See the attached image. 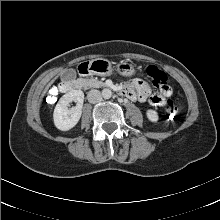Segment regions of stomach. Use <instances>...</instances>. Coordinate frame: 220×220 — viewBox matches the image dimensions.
Masks as SVG:
<instances>
[{"label": "stomach", "mask_w": 220, "mask_h": 220, "mask_svg": "<svg viewBox=\"0 0 220 220\" xmlns=\"http://www.w3.org/2000/svg\"><path fill=\"white\" fill-rule=\"evenodd\" d=\"M117 68L124 76H130L135 73L134 65L128 62H120ZM85 70L89 75L106 76L112 73L113 68L110 61L98 58L87 62Z\"/></svg>", "instance_id": "stomach-1"}]
</instances>
